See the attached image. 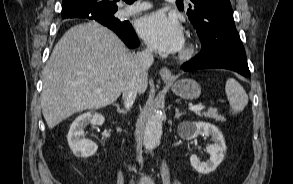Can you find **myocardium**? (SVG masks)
Listing matches in <instances>:
<instances>
[{"label":"myocardium","instance_id":"myocardium-1","mask_svg":"<svg viewBox=\"0 0 293 184\" xmlns=\"http://www.w3.org/2000/svg\"><path fill=\"white\" fill-rule=\"evenodd\" d=\"M198 49V42L193 37H190L180 51L179 58L182 60H190L197 54Z\"/></svg>","mask_w":293,"mask_h":184}]
</instances>
